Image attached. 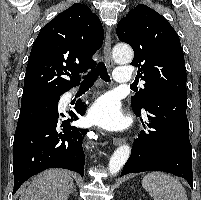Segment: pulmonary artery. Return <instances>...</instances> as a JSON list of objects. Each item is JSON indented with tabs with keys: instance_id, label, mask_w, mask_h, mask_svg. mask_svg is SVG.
I'll return each instance as SVG.
<instances>
[{
	"instance_id": "pulmonary-artery-1",
	"label": "pulmonary artery",
	"mask_w": 201,
	"mask_h": 200,
	"mask_svg": "<svg viewBox=\"0 0 201 200\" xmlns=\"http://www.w3.org/2000/svg\"><path fill=\"white\" fill-rule=\"evenodd\" d=\"M114 79L117 83L125 84L133 80L132 70L126 66H119L114 73Z\"/></svg>"
}]
</instances>
